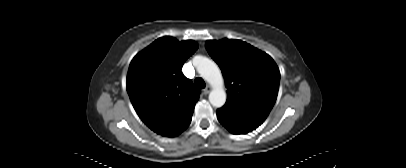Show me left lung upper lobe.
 <instances>
[{
  "label": "left lung upper lobe",
  "mask_w": 406,
  "mask_h": 168,
  "mask_svg": "<svg viewBox=\"0 0 406 168\" xmlns=\"http://www.w3.org/2000/svg\"><path fill=\"white\" fill-rule=\"evenodd\" d=\"M206 49L225 79L228 95L222 108L265 120L279 88L280 72L274 60L240 40H209Z\"/></svg>",
  "instance_id": "1"
}]
</instances>
